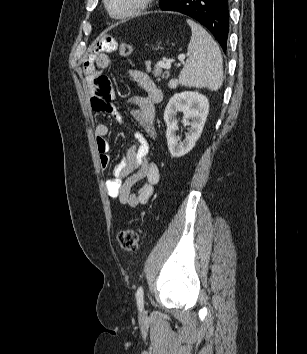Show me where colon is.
<instances>
[{
	"instance_id": "1",
	"label": "colon",
	"mask_w": 307,
	"mask_h": 354,
	"mask_svg": "<svg viewBox=\"0 0 307 354\" xmlns=\"http://www.w3.org/2000/svg\"><path fill=\"white\" fill-rule=\"evenodd\" d=\"M121 56L129 57L132 53V46L129 43L119 45ZM141 238V230L138 228H129L119 232L118 243L124 252H134L137 250Z\"/></svg>"
}]
</instances>
